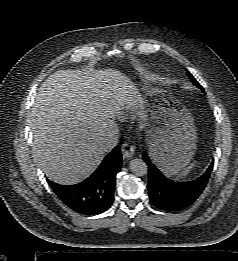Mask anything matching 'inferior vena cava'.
<instances>
[{
    "instance_id": "obj_1",
    "label": "inferior vena cava",
    "mask_w": 238,
    "mask_h": 261,
    "mask_svg": "<svg viewBox=\"0 0 238 261\" xmlns=\"http://www.w3.org/2000/svg\"><path fill=\"white\" fill-rule=\"evenodd\" d=\"M119 142V129L116 125H112L103 140L102 148L108 152L112 150Z\"/></svg>"
}]
</instances>
